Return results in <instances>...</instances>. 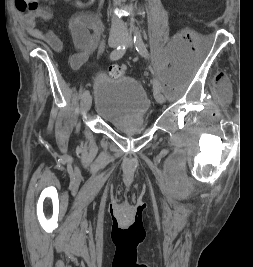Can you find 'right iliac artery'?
Returning a JSON list of instances; mask_svg holds the SVG:
<instances>
[{"label":"right iliac artery","instance_id":"obj_1","mask_svg":"<svg viewBox=\"0 0 253 267\" xmlns=\"http://www.w3.org/2000/svg\"><path fill=\"white\" fill-rule=\"evenodd\" d=\"M126 52V46L125 45H120L118 46L115 50H113L110 54V59L111 60H118L120 59ZM87 95H89L88 90H84L82 93V99H84Z\"/></svg>","mask_w":253,"mask_h":267}]
</instances>
